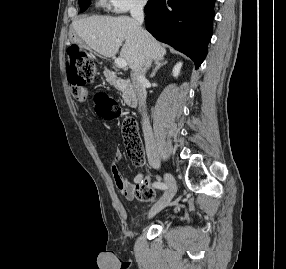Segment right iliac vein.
Here are the masks:
<instances>
[{"label":"right iliac vein","mask_w":286,"mask_h":269,"mask_svg":"<svg viewBox=\"0 0 286 269\" xmlns=\"http://www.w3.org/2000/svg\"><path fill=\"white\" fill-rule=\"evenodd\" d=\"M165 184L167 186V190L165 191L164 195L161 199L150 209L148 217L151 218L155 216L158 212L164 209L166 206L169 205L170 201L174 197L176 193V182L172 174L165 173L164 174Z\"/></svg>","instance_id":"right-iliac-vein-1"}]
</instances>
